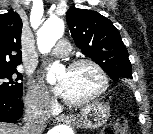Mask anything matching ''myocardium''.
<instances>
[{"mask_svg": "<svg viewBox=\"0 0 153 134\" xmlns=\"http://www.w3.org/2000/svg\"><path fill=\"white\" fill-rule=\"evenodd\" d=\"M82 65H89L95 69V71L98 73V75L101 79V85L96 92H94L93 94H91L81 100L74 101V100H69V99L63 97L64 103L68 106H71V107H80V106H83L87 103H90L91 101L97 99L102 94H104L109 87V76H108L107 72L97 61H95L91 58L76 59L68 65L67 70H73V69H75L79 66H82Z\"/></svg>", "mask_w": 153, "mask_h": 134, "instance_id": "obj_1", "label": "myocardium"}]
</instances>
